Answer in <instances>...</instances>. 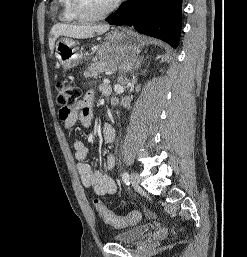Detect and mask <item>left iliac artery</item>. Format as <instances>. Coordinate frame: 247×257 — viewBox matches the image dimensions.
Here are the masks:
<instances>
[{
	"mask_svg": "<svg viewBox=\"0 0 247 257\" xmlns=\"http://www.w3.org/2000/svg\"><path fill=\"white\" fill-rule=\"evenodd\" d=\"M129 179H130V177H129L128 172H124V173L122 174V180L124 181V183H125L126 185H129V184H130Z\"/></svg>",
	"mask_w": 247,
	"mask_h": 257,
	"instance_id": "obj_1",
	"label": "left iliac artery"
}]
</instances>
